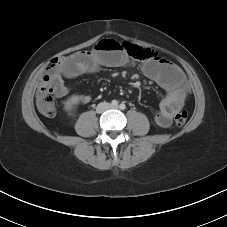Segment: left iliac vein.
Segmentation results:
<instances>
[{"instance_id":"left-iliac-vein-1","label":"left iliac vein","mask_w":227,"mask_h":227,"mask_svg":"<svg viewBox=\"0 0 227 227\" xmlns=\"http://www.w3.org/2000/svg\"><path fill=\"white\" fill-rule=\"evenodd\" d=\"M112 108H115L116 109V108H118V106H112Z\"/></svg>"}]
</instances>
